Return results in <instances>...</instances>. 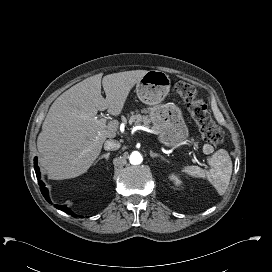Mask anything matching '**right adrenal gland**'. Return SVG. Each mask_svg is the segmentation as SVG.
<instances>
[{
  "mask_svg": "<svg viewBox=\"0 0 272 272\" xmlns=\"http://www.w3.org/2000/svg\"><path fill=\"white\" fill-rule=\"evenodd\" d=\"M109 156H110V153H109V152H108V153H105V154H103V155H101L100 157H98V159L95 161L94 164H96L99 160H101V159H103V158H105L106 160H108Z\"/></svg>",
  "mask_w": 272,
  "mask_h": 272,
  "instance_id": "obj_1",
  "label": "right adrenal gland"
}]
</instances>
